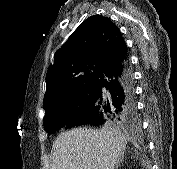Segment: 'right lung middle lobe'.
<instances>
[{
    "instance_id": "right-lung-middle-lobe-1",
    "label": "right lung middle lobe",
    "mask_w": 177,
    "mask_h": 169,
    "mask_svg": "<svg viewBox=\"0 0 177 169\" xmlns=\"http://www.w3.org/2000/svg\"><path fill=\"white\" fill-rule=\"evenodd\" d=\"M96 93L95 82H89L76 90L60 102L44 107V129L53 133L83 113L91 105Z\"/></svg>"
}]
</instances>
